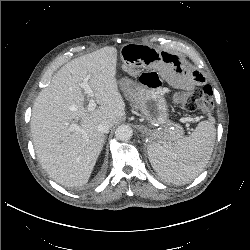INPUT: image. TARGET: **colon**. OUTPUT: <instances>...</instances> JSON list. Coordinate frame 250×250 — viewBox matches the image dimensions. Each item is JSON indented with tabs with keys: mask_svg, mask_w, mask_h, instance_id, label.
Here are the masks:
<instances>
[{
	"mask_svg": "<svg viewBox=\"0 0 250 250\" xmlns=\"http://www.w3.org/2000/svg\"><path fill=\"white\" fill-rule=\"evenodd\" d=\"M173 100L189 111L200 110L202 113H208L213 108L212 89L209 85L190 91L176 92Z\"/></svg>",
	"mask_w": 250,
	"mask_h": 250,
	"instance_id": "5ec220e1",
	"label": "colon"
}]
</instances>
